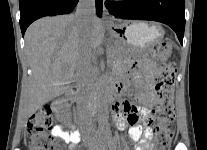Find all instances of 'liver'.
I'll return each mask as SVG.
<instances>
[{
    "label": "liver",
    "mask_w": 207,
    "mask_h": 150,
    "mask_svg": "<svg viewBox=\"0 0 207 150\" xmlns=\"http://www.w3.org/2000/svg\"><path fill=\"white\" fill-rule=\"evenodd\" d=\"M104 37L101 20L95 18L89 31L84 32L75 14L45 17L29 26L25 33V51L32 73L21 97L26 119L62 95L67 85L76 80L75 71L84 39L96 50Z\"/></svg>",
    "instance_id": "obj_1"
}]
</instances>
